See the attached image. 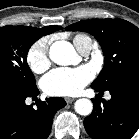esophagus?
I'll return each instance as SVG.
<instances>
[{
    "instance_id": "esophagus-1",
    "label": "esophagus",
    "mask_w": 139,
    "mask_h": 139,
    "mask_svg": "<svg viewBox=\"0 0 139 139\" xmlns=\"http://www.w3.org/2000/svg\"><path fill=\"white\" fill-rule=\"evenodd\" d=\"M74 100H75L74 98H70V97H66V98H65V101H66L67 103H72Z\"/></svg>"
}]
</instances>
